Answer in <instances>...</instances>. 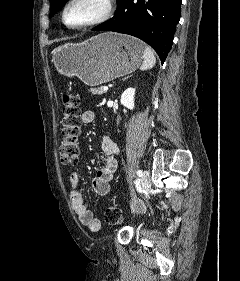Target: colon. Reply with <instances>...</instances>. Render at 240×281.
<instances>
[{"mask_svg": "<svg viewBox=\"0 0 240 281\" xmlns=\"http://www.w3.org/2000/svg\"><path fill=\"white\" fill-rule=\"evenodd\" d=\"M62 141L59 148L60 160L65 165H75L78 162L80 150L78 136L80 132V102L77 95L66 92L62 95ZM121 211L112 205L106 209L105 220L111 225L120 221Z\"/></svg>", "mask_w": 240, "mask_h": 281, "instance_id": "obj_1", "label": "colon"}]
</instances>
